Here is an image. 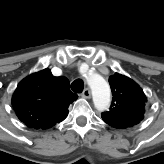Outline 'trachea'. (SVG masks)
I'll return each mask as SVG.
<instances>
[{
    "instance_id": "trachea-1",
    "label": "trachea",
    "mask_w": 164,
    "mask_h": 164,
    "mask_svg": "<svg viewBox=\"0 0 164 164\" xmlns=\"http://www.w3.org/2000/svg\"><path fill=\"white\" fill-rule=\"evenodd\" d=\"M84 88V82L81 79H76L75 81L72 82L71 84V89L74 92L81 93Z\"/></svg>"
}]
</instances>
